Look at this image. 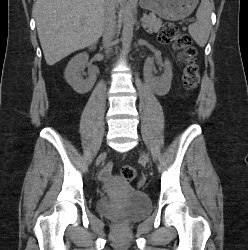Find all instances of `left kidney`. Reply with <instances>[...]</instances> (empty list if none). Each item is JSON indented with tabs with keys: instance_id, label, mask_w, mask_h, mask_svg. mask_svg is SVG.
<instances>
[{
	"instance_id": "left-kidney-1",
	"label": "left kidney",
	"mask_w": 248,
	"mask_h": 250,
	"mask_svg": "<svg viewBox=\"0 0 248 250\" xmlns=\"http://www.w3.org/2000/svg\"><path fill=\"white\" fill-rule=\"evenodd\" d=\"M166 70L163 74V76L160 79H156L154 83V90L157 93H161L163 90H168L171 85V80H172V68L170 66V63L167 61L166 62Z\"/></svg>"
}]
</instances>
